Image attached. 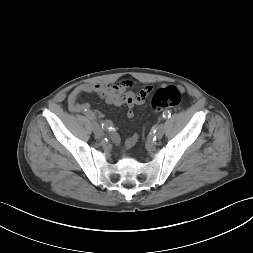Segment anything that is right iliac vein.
<instances>
[{
	"instance_id": "obj_1",
	"label": "right iliac vein",
	"mask_w": 253,
	"mask_h": 253,
	"mask_svg": "<svg viewBox=\"0 0 253 253\" xmlns=\"http://www.w3.org/2000/svg\"><path fill=\"white\" fill-rule=\"evenodd\" d=\"M93 132L97 137H101L103 135V132L97 122L92 123Z\"/></svg>"
}]
</instances>
